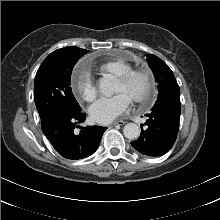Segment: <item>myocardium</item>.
<instances>
[{
	"instance_id": "f54148a6",
	"label": "myocardium",
	"mask_w": 220,
	"mask_h": 220,
	"mask_svg": "<svg viewBox=\"0 0 220 220\" xmlns=\"http://www.w3.org/2000/svg\"><path fill=\"white\" fill-rule=\"evenodd\" d=\"M141 77L144 79L145 82V89L144 92L137 98L135 101L141 104H145L153 99L156 94V86L153 79V75L149 69L145 67L140 68H130L121 74L118 77V80L123 83H129L133 79Z\"/></svg>"
}]
</instances>
